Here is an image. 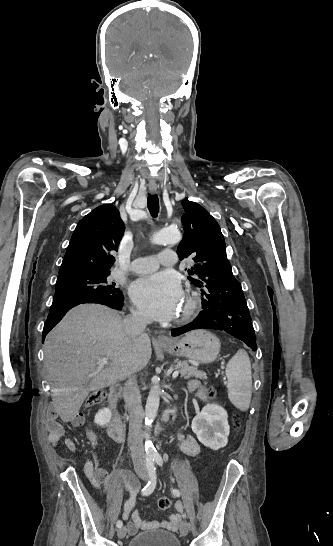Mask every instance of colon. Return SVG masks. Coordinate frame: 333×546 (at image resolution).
Listing matches in <instances>:
<instances>
[{"label":"colon","instance_id":"1","mask_svg":"<svg viewBox=\"0 0 333 546\" xmlns=\"http://www.w3.org/2000/svg\"><path fill=\"white\" fill-rule=\"evenodd\" d=\"M214 394H215V391L213 389H210L207 392V395L209 397H212ZM104 397H105V393L103 391L93 392L88 397V399L86 401V406L87 407H92V406L96 405L97 403H99ZM232 424H233L234 430L239 431L240 425H241V419H240V416L238 414H236V413L232 417ZM157 505H158L160 510H163V511L168 510L171 507V500L166 496L161 497L158 500Z\"/></svg>","mask_w":333,"mask_h":546}]
</instances>
